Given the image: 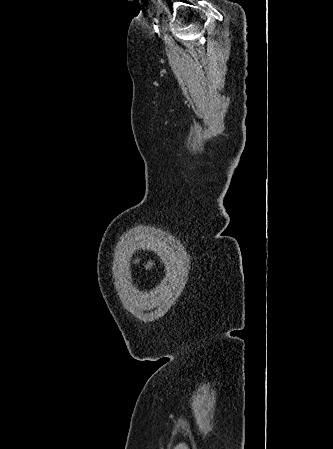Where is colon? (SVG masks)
I'll return each instance as SVG.
<instances>
[{
    "label": "colon",
    "instance_id": "colon-1",
    "mask_svg": "<svg viewBox=\"0 0 333 449\" xmlns=\"http://www.w3.org/2000/svg\"><path fill=\"white\" fill-rule=\"evenodd\" d=\"M145 267H146L147 269H150V268H151V265H150V264H146Z\"/></svg>",
    "mask_w": 333,
    "mask_h": 449
}]
</instances>
